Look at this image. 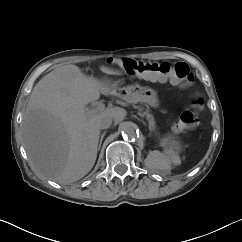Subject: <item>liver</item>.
I'll use <instances>...</instances> for the list:
<instances>
[{
	"mask_svg": "<svg viewBox=\"0 0 242 242\" xmlns=\"http://www.w3.org/2000/svg\"><path fill=\"white\" fill-rule=\"evenodd\" d=\"M100 70L121 74L105 66ZM100 94L121 97L110 82L87 76L72 64L54 69L35 85L23 115L22 136L38 174L67 184L90 172L97 157L101 117L110 116L118 124L127 114L114 107L88 115L86 105Z\"/></svg>",
	"mask_w": 242,
	"mask_h": 242,
	"instance_id": "obj_1",
	"label": "liver"
}]
</instances>
